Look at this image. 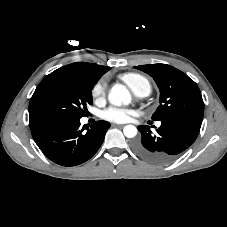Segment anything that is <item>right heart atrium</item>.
Here are the masks:
<instances>
[{"label":"right heart atrium","instance_id":"obj_1","mask_svg":"<svg viewBox=\"0 0 227 227\" xmlns=\"http://www.w3.org/2000/svg\"><path fill=\"white\" fill-rule=\"evenodd\" d=\"M105 92H106V81L104 79H100L93 85L91 89V96L94 100L100 101L104 98Z\"/></svg>","mask_w":227,"mask_h":227}]
</instances>
